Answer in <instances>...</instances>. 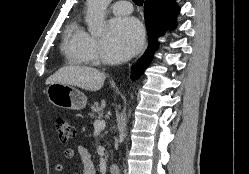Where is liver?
Segmentation results:
<instances>
[{"instance_id": "obj_1", "label": "liver", "mask_w": 249, "mask_h": 174, "mask_svg": "<svg viewBox=\"0 0 249 174\" xmlns=\"http://www.w3.org/2000/svg\"><path fill=\"white\" fill-rule=\"evenodd\" d=\"M105 79V74L95 68L66 66L51 75L47 79L46 84L61 83L88 91H98L103 86Z\"/></svg>"}]
</instances>
